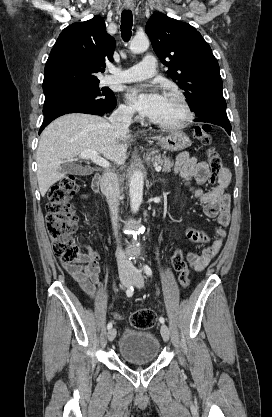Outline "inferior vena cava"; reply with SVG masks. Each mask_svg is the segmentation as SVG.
Returning <instances> with one entry per match:
<instances>
[{
  "label": "inferior vena cava",
  "instance_id": "602c4592",
  "mask_svg": "<svg viewBox=\"0 0 272 417\" xmlns=\"http://www.w3.org/2000/svg\"><path fill=\"white\" fill-rule=\"evenodd\" d=\"M133 116V110L127 107H119L109 117L111 125L121 131H128ZM101 191L106 196L107 203L110 208L111 221L114 229L115 237L118 236V205H119V182L117 175L112 171H106L102 175L101 179ZM117 263L120 276L131 275L134 270V266L129 261L125 253L121 248H117Z\"/></svg>",
  "mask_w": 272,
  "mask_h": 417
}]
</instances>
